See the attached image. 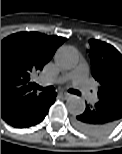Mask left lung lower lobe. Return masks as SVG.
I'll return each instance as SVG.
<instances>
[{
    "mask_svg": "<svg viewBox=\"0 0 122 154\" xmlns=\"http://www.w3.org/2000/svg\"><path fill=\"white\" fill-rule=\"evenodd\" d=\"M122 120V95L100 97L93 105H86L82 114L73 120L74 126L81 132L98 136L112 130Z\"/></svg>",
    "mask_w": 122,
    "mask_h": 154,
    "instance_id": "left-lung-lower-lobe-1",
    "label": "left lung lower lobe"
}]
</instances>
